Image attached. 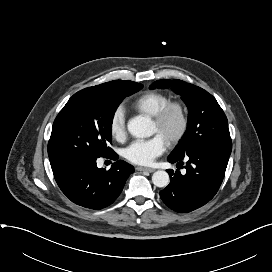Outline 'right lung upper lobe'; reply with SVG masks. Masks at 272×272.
<instances>
[{
	"label": "right lung upper lobe",
	"mask_w": 272,
	"mask_h": 272,
	"mask_svg": "<svg viewBox=\"0 0 272 272\" xmlns=\"http://www.w3.org/2000/svg\"><path fill=\"white\" fill-rule=\"evenodd\" d=\"M127 81L114 80L97 86L85 88L76 94H87L91 96L107 97L118 94Z\"/></svg>",
	"instance_id": "right-lung-upper-lobe-1"
}]
</instances>
